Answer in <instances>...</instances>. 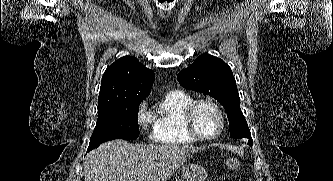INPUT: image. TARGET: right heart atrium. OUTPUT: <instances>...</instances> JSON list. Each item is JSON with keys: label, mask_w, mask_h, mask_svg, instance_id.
<instances>
[{"label": "right heart atrium", "mask_w": 333, "mask_h": 181, "mask_svg": "<svg viewBox=\"0 0 333 181\" xmlns=\"http://www.w3.org/2000/svg\"><path fill=\"white\" fill-rule=\"evenodd\" d=\"M137 120L140 127L147 130L149 126L153 125V119L151 113L147 111L146 103H142L137 112Z\"/></svg>", "instance_id": "1"}]
</instances>
